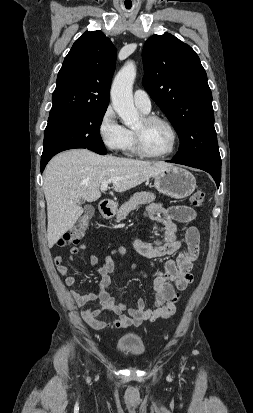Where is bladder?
Returning a JSON list of instances; mask_svg holds the SVG:
<instances>
[{
  "mask_svg": "<svg viewBox=\"0 0 253 413\" xmlns=\"http://www.w3.org/2000/svg\"><path fill=\"white\" fill-rule=\"evenodd\" d=\"M118 354L124 357H141L146 352V347L143 343L133 340H125L117 345Z\"/></svg>",
  "mask_w": 253,
  "mask_h": 413,
  "instance_id": "31cf9c89",
  "label": "bladder"
}]
</instances>
